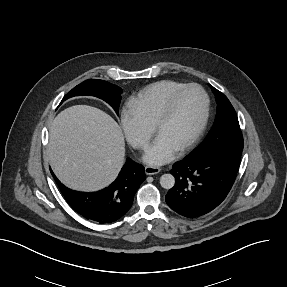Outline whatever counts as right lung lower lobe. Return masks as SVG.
Wrapping results in <instances>:
<instances>
[{
  "label": "right lung lower lobe",
  "instance_id": "obj_1",
  "mask_svg": "<svg viewBox=\"0 0 287 287\" xmlns=\"http://www.w3.org/2000/svg\"><path fill=\"white\" fill-rule=\"evenodd\" d=\"M67 203L78 214L99 224L112 223L131 208L136 191L145 180V171L127 159L116 180L94 193L77 192L65 187L51 172Z\"/></svg>",
  "mask_w": 287,
  "mask_h": 287
}]
</instances>
